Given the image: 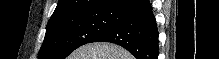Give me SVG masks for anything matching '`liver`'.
Returning <instances> with one entry per match:
<instances>
[{
  "instance_id": "liver-1",
  "label": "liver",
  "mask_w": 219,
  "mask_h": 59,
  "mask_svg": "<svg viewBox=\"0 0 219 59\" xmlns=\"http://www.w3.org/2000/svg\"><path fill=\"white\" fill-rule=\"evenodd\" d=\"M67 59H134L124 48L111 43H91L76 49Z\"/></svg>"
}]
</instances>
